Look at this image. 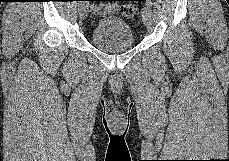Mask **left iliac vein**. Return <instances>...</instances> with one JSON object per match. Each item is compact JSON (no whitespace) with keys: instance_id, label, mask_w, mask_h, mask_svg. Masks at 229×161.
Instances as JSON below:
<instances>
[{"instance_id":"left-iliac-vein-1","label":"left iliac vein","mask_w":229,"mask_h":161,"mask_svg":"<svg viewBox=\"0 0 229 161\" xmlns=\"http://www.w3.org/2000/svg\"><path fill=\"white\" fill-rule=\"evenodd\" d=\"M142 18L145 26L150 29L153 24V14L150 7L145 6L142 10Z\"/></svg>"}]
</instances>
